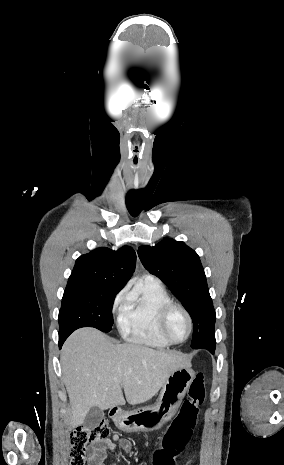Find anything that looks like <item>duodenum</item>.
Instances as JSON below:
<instances>
[{"mask_svg": "<svg viewBox=\"0 0 284 465\" xmlns=\"http://www.w3.org/2000/svg\"><path fill=\"white\" fill-rule=\"evenodd\" d=\"M109 415L112 419H114L116 424H119L123 417L127 415V412L119 408H114L110 410Z\"/></svg>", "mask_w": 284, "mask_h": 465, "instance_id": "obj_1", "label": "duodenum"}]
</instances>
